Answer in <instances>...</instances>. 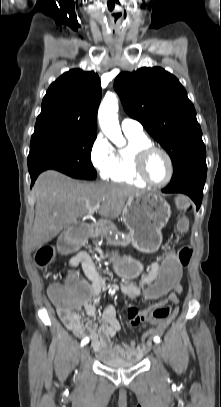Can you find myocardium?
I'll list each match as a JSON object with an SVG mask.
<instances>
[{
	"label": "myocardium",
	"instance_id": "f54148a6",
	"mask_svg": "<svg viewBox=\"0 0 221 407\" xmlns=\"http://www.w3.org/2000/svg\"><path fill=\"white\" fill-rule=\"evenodd\" d=\"M159 152L163 154L168 163H169V175L167 179L163 182H154L150 179L147 173V162L149 157L155 153ZM134 165H135V171L139 178L144 181L147 185L153 186V187H163L166 186L171 182L173 179L174 173H175V166H174V161L170 155V153L165 150L162 147L156 146V145H149L146 146L140 150H138L135 154V159H134Z\"/></svg>",
	"mask_w": 221,
	"mask_h": 407
}]
</instances>
